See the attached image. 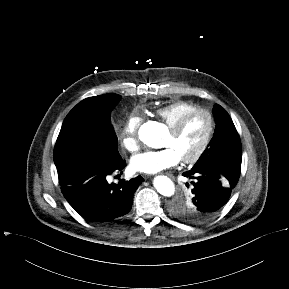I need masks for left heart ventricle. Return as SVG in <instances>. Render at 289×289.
Returning a JSON list of instances; mask_svg holds the SVG:
<instances>
[{
	"instance_id": "obj_1",
	"label": "left heart ventricle",
	"mask_w": 289,
	"mask_h": 289,
	"mask_svg": "<svg viewBox=\"0 0 289 289\" xmlns=\"http://www.w3.org/2000/svg\"><path fill=\"white\" fill-rule=\"evenodd\" d=\"M209 129L208 118L204 114L191 117L184 128L177 135L170 131L163 146L172 147L179 157L186 158L193 155L203 143Z\"/></svg>"
}]
</instances>
